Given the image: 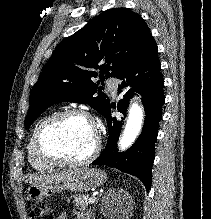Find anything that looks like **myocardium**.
<instances>
[{
  "label": "myocardium",
  "instance_id": "obj_1",
  "mask_svg": "<svg viewBox=\"0 0 211 219\" xmlns=\"http://www.w3.org/2000/svg\"><path fill=\"white\" fill-rule=\"evenodd\" d=\"M67 117H77L89 122L94 128V122L91 116L79 109H66L56 112L45 119L38 127L33 139V151L38 159L50 166L58 167H80L90 164L98 156L101 149V138L96 134V143L91 153L83 159L68 160L51 154L45 147V136L47 132L61 119Z\"/></svg>",
  "mask_w": 211,
  "mask_h": 219
}]
</instances>
